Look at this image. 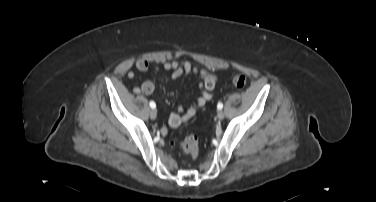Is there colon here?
<instances>
[{"label": "colon", "instance_id": "obj_1", "mask_svg": "<svg viewBox=\"0 0 376 202\" xmlns=\"http://www.w3.org/2000/svg\"><path fill=\"white\" fill-rule=\"evenodd\" d=\"M232 83L237 88H243L246 85V78L242 74H235L232 77ZM177 145L192 160L197 159L199 154V141L195 135L186 136L182 141L178 142Z\"/></svg>", "mask_w": 376, "mask_h": 202}]
</instances>
